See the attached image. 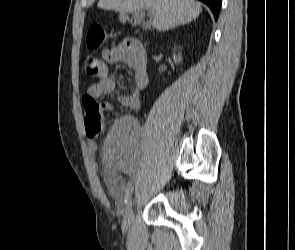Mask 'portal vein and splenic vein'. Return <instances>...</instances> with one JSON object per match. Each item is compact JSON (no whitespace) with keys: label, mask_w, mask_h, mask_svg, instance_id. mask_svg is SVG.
<instances>
[{"label":"portal vein and splenic vein","mask_w":295,"mask_h":250,"mask_svg":"<svg viewBox=\"0 0 295 250\" xmlns=\"http://www.w3.org/2000/svg\"><path fill=\"white\" fill-rule=\"evenodd\" d=\"M147 8H148L150 13H153L154 10L152 8H150V7H147Z\"/></svg>","instance_id":"1"}]
</instances>
